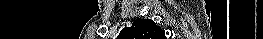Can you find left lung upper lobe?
<instances>
[{"label": "left lung upper lobe", "instance_id": "left-lung-upper-lobe-1", "mask_svg": "<svg viewBox=\"0 0 263 39\" xmlns=\"http://www.w3.org/2000/svg\"><path fill=\"white\" fill-rule=\"evenodd\" d=\"M165 33L150 19H136L131 27L121 30L117 39H165Z\"/></svg>", "mask_w": 263, "mask_h": 39}]
</instances>
